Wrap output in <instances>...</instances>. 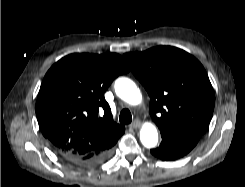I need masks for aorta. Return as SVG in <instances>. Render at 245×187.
Instances as JSON below:
<instances>
[{
    "instance_id": "aorta-1",
    "label": "aorta",
    "mask_w": 245,
    "mask_h": 187,
    "mask_svg": "<svg viewBox=\"0 0 245 187\" xmlns=\"http://www.w3.org/2000/svg\"><path fill=\"white\" fill-rule=\"evenodd\" d=\"M114 88L117 96L131 105H137L142 100V95L139 88L129 78H118L115 81ZM140 140L147 148H152L157 145L158 132L152 123L143 124L140 130Z\"/></svg>"
}]
</instances>
